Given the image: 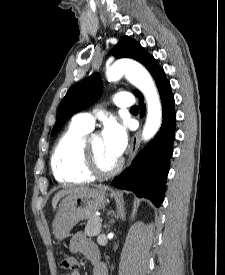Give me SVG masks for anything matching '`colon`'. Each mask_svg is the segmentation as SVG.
<instances>
[{
	"instance_id": "colon-1",
	"label": "colon",
	"mask_w": 225,
	"mask_h": 275,
	"mask_svg": "<svg viewBox=\"0 0 225 275\" xmlns=\"http://www.w3.org/2000/svg\"><path fill=\"white\" fill-rule=\"evenodd\" d=\"M62 268L70 272H76L79 269L77 259L73 256L65 257L62 261Z\"/></svg>"
}]
</instances>
